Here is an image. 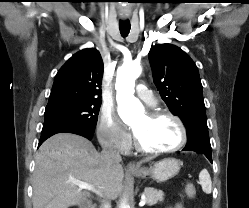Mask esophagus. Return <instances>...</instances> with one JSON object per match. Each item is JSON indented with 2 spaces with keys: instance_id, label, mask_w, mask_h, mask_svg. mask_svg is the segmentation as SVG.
<instances>
[{
  "instance_id": "obj_1",
  "label": "esophagus",
  "mask_w": 249,
  "mask_h": 208,
  "mask_svg": "<svg viewBox=\"0 0 249 208\" xmlns=\"http://www.w3.org/2000/svg\"><path fill=\"white\" fill-rule=\"evenodd\" d=\"M127 167L129 170H132V171L139 169V167L135 163H132V162H130Z\"/></svg>"
}]
</instances>
